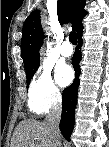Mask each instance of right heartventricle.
<instances>
[{
	"label": "right heart ventricle",
	"mask_w": 109,
	"mask_h": 147,
	"mask_svg": "<svg viewBox=\"0 0 109 147\" xmlns=\"http://www.w3.org/2000/svg\"><path fill=\"white\" fill-rule=\"evenodd\" d=\"M29 107L30 109L35 112V113H40L39 109L37 108L36 105L32 104V103H29Z\"/></svg>",
	"instance_id": "e07e8e85"
}]
</instances>
